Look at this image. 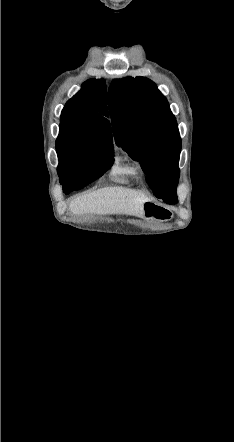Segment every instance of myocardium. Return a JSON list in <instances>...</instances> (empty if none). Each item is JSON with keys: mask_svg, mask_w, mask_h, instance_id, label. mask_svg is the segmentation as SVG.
<instances>
[{"mask_svg": "<svg viewBox=\"0 0 234 442\" xmlns=\"http://www.w3.org/2000/svg\"><path fill=\"white\" fill-rule=\"evenodd\" d=\"M137 169H138L141 173L144 172V168H143V166L140 165V164H138Z\"/></svg>", "mask_w": 234, "mask_h": 442, "instance_id": "1", "label": "myocardium"}]
</instances>
